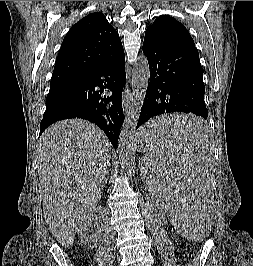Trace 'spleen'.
<instances>
[{"instance_id": "spleen-1", "label": "spleen", "mask_w": 253, "mask_h": 266, "mask_svg": "<svg viewBox=\"0 0 253 266\" xmlns=\"http://www.w3.org/2000/svg\"><path fill=\"white\" fill-rule=\"evenodd\" d=\"M199 111H165L144 123L139 168L144 186L168 210L174 229L186 242L214 235L209 190L213 178V141H206V123Z\"/></svg>"}]
</instances>
